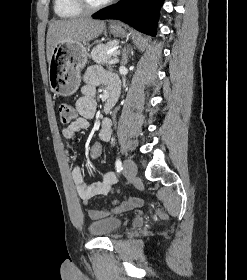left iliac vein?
Here are the masks:
<instances>
[{"label":"left iliac vein","mask_w":247,"mask_h":280,"mask_svg":"<svg viewBox=\"0 0 247 280\" xmlns=\"http://www.w3.org/2000/svg\"><path fill=\"white\" fill-rule=\"evenodd\" d=\"M123 173L128 178H134L137 175V166L131 159H126L123 165Z\"/></svg>","instance_id":"1"}]
</instances>
